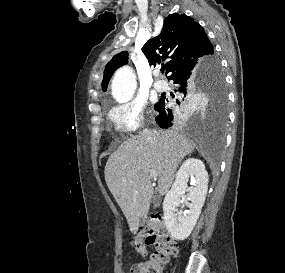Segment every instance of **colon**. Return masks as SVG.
<instances>
[{
  "mask_svg": "<svg viewBox=\"0 0 285 273\" xmlns=\"http://www.w3.org/2000/svg\"><path fill=\"white\" fill-rule=\"evenodd\" d=\"M131 246L144 255L147 246H154L156 251L145 261L133 267L131 273H163L171 257L177 253L178 244L169 235L160 218L153 219L145 229L131 240Z\"/></svg>",
  "mask_w": 285,
  "mask_h": 273,
  "instance_id": "5ec220e1",
  "label": "colon"
}]
</instances>
